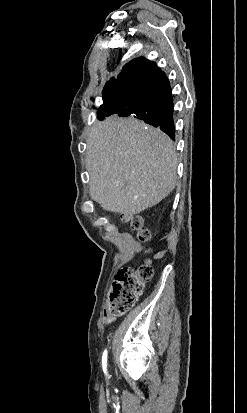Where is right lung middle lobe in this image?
Instances as JSON below:
<instances>
[{
  "label": "right lung middle lobe",
  "mask_w": 247,
  "mask_h": 413,
  "mask_svg": "<svg viewBox=\"0 0 247 413\" xmlns=\"http://www.w3.org/2000/svg\"><path fill=\"white\" fill-rule=\"evenodd\" d=\"M112 97L134 99L136 97V90L128 82L106 83L103 90V100H107Z\"/></svg>",
  "instance_id": "right-lung-middle-lobe-1"
}]
</instances>
